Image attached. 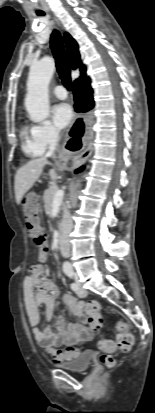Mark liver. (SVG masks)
<instances>
[{"label": "liver", "mask_w": 155, "mask_h": 413, "mask_svg": "<svg viewBox=\"0 0 155 413\" xmlns=\"http://www.w3.org/2000/svg\"><path fill=\"white\" fill-rule=\"evenodd\" d=\"M48 163L46 157L36 158L20 167L15 175V199L20 204L24 194L35 184Z\"/></svg>", "instance_id": "6515ba94"}]
</instances>
